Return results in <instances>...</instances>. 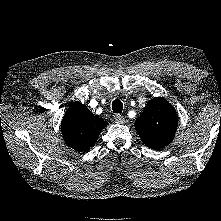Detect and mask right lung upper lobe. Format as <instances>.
<instances>
[{
    "label": "right lung upper lobe",
    "mask_w": 221,
    "mask_h": 221,
    "mask_svg": "<svg viewBox=\"0 0 221 221\" xmlns=\"http://www.w3.org/2000/svg\"><path fill=\"white\" fill-rule=\"evenodd\" d=\"M106 125V121L76 102L65 113L61 122V131L69 147L77 151H86L94 146Z\"/></svg>",
    "instance_id": "1"
}]
</instances>
